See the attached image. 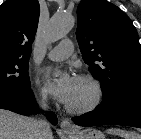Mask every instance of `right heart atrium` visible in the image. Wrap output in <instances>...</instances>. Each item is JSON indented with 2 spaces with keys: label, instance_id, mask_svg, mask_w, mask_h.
Wrapping results in <instances>:
<instances>
[{
  "label": "right heart atrium",
  "instance_id": "1",
  "mask_svg": "<svg viewBox=\"0 0 141 139\" xmlns=\"http://www.w3.org/2000/svg\"><path fill=\"white\" fill-rule=\"evenodd\" d=\"M37 96H38V98H39V100L41 102H46L47 95H46V93L42 89L38 88V90H37Z\"/></svg>",
  "mask_w": 141,
  "mask_h": 139
}]
</instances>
